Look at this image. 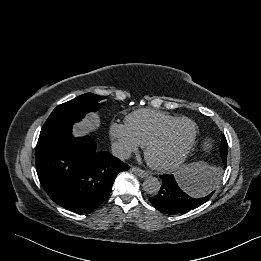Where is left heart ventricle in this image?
I'll return each instance as SVG.
<instances>
[{
    "label": "left heart ventricle",
    "instance_id": "obj_1",
    "mask_svg": "<svg viewBox=\"0 0 261 261\" xmlns=\"http://www.w3.org/2000/svg\"><path fill=\"white\" fill-rule=\"evenodd\" d=\"M193 132L189 122L182 121L174 125L164 137L151 149V157L159 163L176 159L187 146Z\"/></svg>",
    "mask_w": 261,
    "mask_h": 261
}]
</instances>
